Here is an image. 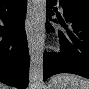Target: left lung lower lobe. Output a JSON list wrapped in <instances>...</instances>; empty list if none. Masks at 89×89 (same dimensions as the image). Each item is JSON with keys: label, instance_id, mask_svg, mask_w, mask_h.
<instances>
[{"label": "left lung lower lobe", "instance_id": "obj_1", "mask_svg": "<svg viewBox=\"0 0 89 89\" xmlns=\"http://www.w3.org/2000/svg\"><path fill=\"white\" fill-rule=\"evenodd\" d=\"M57 0H47V17L54 15L57 8L52 7ZM64 11L61 17L52 20L65 29L59 31L61 53H44L43 78L46 81L58 73H72L89 78V4L71 0H60ZM47 31H54L51 24H46Z\"/></svg>", "mask_w": 89, "mask_h": 89}]
</instances>
